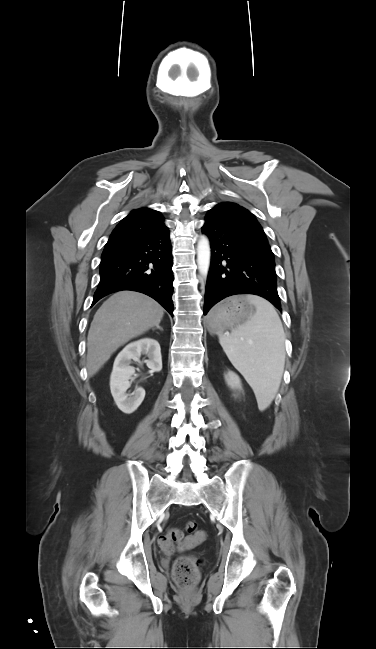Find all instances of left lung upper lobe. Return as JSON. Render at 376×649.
<instances>
[{
	"label": "left lung upper lobe",
	"instance_id": "5c2ea615",
	"mask_svg": "<svg viewBox=\"0 0 376 649\" xmlns=\"http://www.w3.org/2000/svg\"><path fill=\"white\" fill-rule=\"evenodd\" d=\"M207 215L219 218L267 240L266 235L254 217L247 209L231 202H222L213 207Z\"/></svg>",
	"mask_w": 376,
	"mask_h": 649
}]
</instances>
